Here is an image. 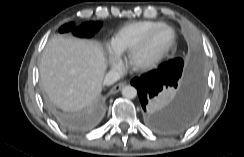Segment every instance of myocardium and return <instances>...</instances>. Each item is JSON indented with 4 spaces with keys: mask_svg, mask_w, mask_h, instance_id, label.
Instances as JSON below:
<instances>
[{
    "mask_svg": "<svg viewBox=\"0 0 244 157\" xmlns=\"http://www.w3.org/2000/svg\"><path fill=\"white\" fill-rule=\"evenodd\" d=\"M161 29H170L173 33L172 39L170 41V43L165 46L160 52H158L154 57H152L149 60L146 61H142L140 59V55L142 53V51L144 50V48L146 47V45L148 44V42L150 41V39L152 38V36L157 33L159 30ZM176 41V33L175 30L172 26L168 25V24H161L157 27H155L154 29H152L143 39L142 41L136 45L129 53H128V63L129 65L135 69V70H139V71H144V70H148L151 69L152 67H154L162 58L163 56L172 48V46L175 44Z\"/></svg>",
    "mask_w": 244,
    "mask_h": 157,
    "instance_id": "f54148a6",
    "label": "myocardium"
}]
</instances>
